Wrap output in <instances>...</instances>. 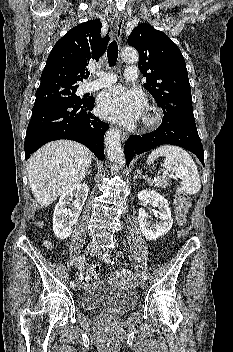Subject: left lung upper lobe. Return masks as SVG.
I'll list each match as a JSON object with an SVG mask.
<instances>
[{
  "label": "left lung upper lobe",
  "instance_id": "1",
  "mask_svg": "<svg viewBox=\"0 0 233 352\" xmlns=\"http://www.w3.org/2000/svg\"><path fill=\"white\" fill-rule=\"evenodd\" d=\"M127 42L140 54L138 67L147 78L144 87L161 106L164 117L195 122L187 68L177 45L147 23L135 27Z\"/></svg>",
  "mask_w": 233,
  "mask_h": 352
}]
</instances>
